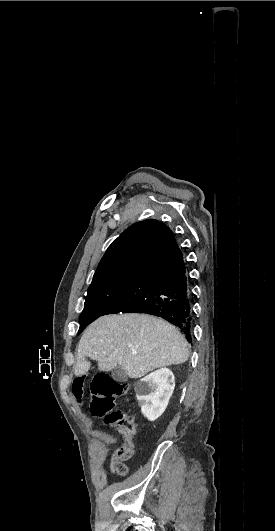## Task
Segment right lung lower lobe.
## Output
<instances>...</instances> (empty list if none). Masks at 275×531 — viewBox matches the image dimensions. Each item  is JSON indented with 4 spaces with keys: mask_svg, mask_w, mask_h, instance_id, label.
<instances>
[{
    "mask_svg": "<svg viewBox=\"0 0 275 531\" xmlns=\"http://www.w3.org/2000/svg\"><path fill=\"white\" fill-rule=\"evenodd\" d=\"M127 312L159 316L180 328L191 341V290L175 238L103 315Z\"/></svg>",
    "mask_w": 275,
    "mask_h": 531,
    "instance_id": "obj_1",
    "label": "right lung lower lobe"
}]
</instances>
